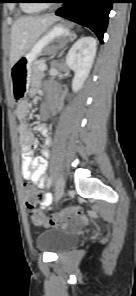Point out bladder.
I'll return each mask as SVG.
<instances>
[{
    "label": "bladder",
    "instance_id": "1",
    "mask_svg": "<svg viewBox=\"0 0 136 296\" xmlns=\"http://www.w3.org/2000/svg\"><path fill=\"white\" fill-rule=\"evenodd\" d=\"M76 240L75 233L61 228H51L38 235L37 245L41 251L58 253L71 247Z\"/></svg>",
    "mask_w": 136,
    "mask_h": 296
}]
</instances>
